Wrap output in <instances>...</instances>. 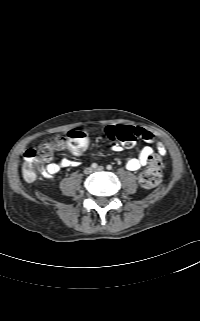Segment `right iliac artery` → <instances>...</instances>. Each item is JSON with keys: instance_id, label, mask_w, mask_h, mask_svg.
Masks as SVG:
<instances>
[{"instance_id": "right-iliac-artery-1", "label": "right iliac artery", "mask_w": 200, "mask_h": 321, "mask_svg": "<svg viewBox=\"0 0 200 321\" xmlns=\"http://www.w3.org/2000/svg\"><path fill=\"white\" fill-rule=\"evenodd\" d=\"M91 167H92V168H97V164H96V163H93V164L91 165Z\"/></svg>"}]
</instances>
